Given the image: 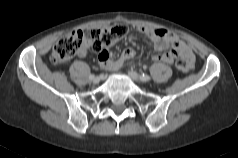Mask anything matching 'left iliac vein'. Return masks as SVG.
Masks as SVG:
<instances>
[{
    "label": "left iliac vein",
    "mask_w": 238,
    "mask_h": 158,
    "mask_svg": "<svg viewBox=\"0 0 238 158\" xmlns=\"http://www.w3.org/2000/svg\"><path fill=\"white\" fill-rule=\"evenodd\" d=\"M128 74L134 81H139L140 80V78H139V76L136 72L130 71Z\"/></svg>",
    "instance_id": "1"
}]
</instances>
